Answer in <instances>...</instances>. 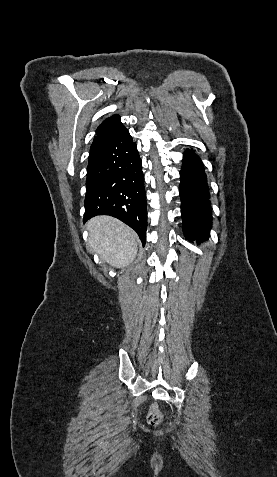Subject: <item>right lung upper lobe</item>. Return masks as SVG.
I'll return each mask as SVG.
<instances>
[{
  "label": "right lung upper lobe",
  "instance_id": "cb5924a9",
  "mask_svg": "<svg viewBox=\"0 0 277 477\" xmlns=\"http://www.w3.org/2000/svg\"><path fill=\"white\" fill-rule=\"evenodd\" d=\"M124 128V125L120 122L119 115H113L110 118H107L97 128L96 136L94 137L91 149L96 148L111 140Z\"/></svg>",
  "mask_w": 277,
  "mask_h": 477
}]
</instances>
